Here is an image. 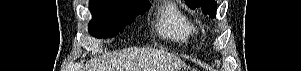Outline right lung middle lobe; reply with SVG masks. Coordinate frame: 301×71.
<instances>
[{
	"label": "right lung middle lobe",
	"instance_id": "1",
	"mask_svg": "<svg viewBox=\"0 0 301 71\" xmlns=\"http://www.w3.org/2000/svg\"><path fill=\"white\" fill-rule=\"evenodd\" d=\"M151 7L150 2L127 0H90L93 19L89 22V32L96 38L116 36Z\"/></svg>",
	"mask_w": 301,
	"mask_h": 71
}]
</instances>
